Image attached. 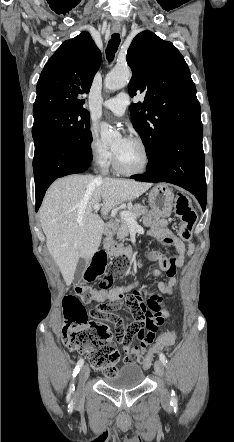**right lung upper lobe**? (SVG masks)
Listing matches in <instances>:
<instances>
[{
    "label": "right lung upper lobe",
    "mask_w": 234,
    "mask_h": 442,
    "mask_svg": "<svg viewBox=\"0 0 234 442\" xmlns=\"http://www.w3.org/2000/svg\"><path fill=\"white\" fill-rule=\"evenodd\" d=\"M100 62L101 52L89 33L84 31L63 42L41 72L33 115L61 109H85L82 95L89 92Z\"/></svg>",
    "instance_id": "right-lung-upper-lobe-1"
}]
</instances>
